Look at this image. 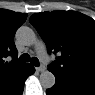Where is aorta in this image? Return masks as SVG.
Masks as SVG:
<instances>
[{"instance_id":"aorta-1","label":"aorta","mask_w":95,"mask_h":95,"mask_svg":"<svg viewBox=\"0 0 95 95\" xmlns=\"http://www.w3.org/2000/svg\"><path fill=\"white\" fill-rule=\"evenodd\" d=\"M16 38L25 46H30L36 41L35 32L27 26H22L17 30ZM39 79L44 89L52 88L56 81L54 74L48 70L41 72Z\"/></svg>"}]
</instances>
